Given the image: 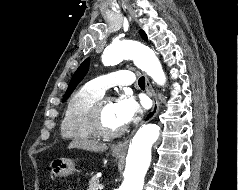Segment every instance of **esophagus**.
Masks as SVG:
<instances>
[{"label":"esophagus","instance_id":"34e87169","mask_svg":"<svg viewBox=\"0 0 238 190\" xmlns=\"http://www.w3.org/2000/svg\"><path fill=\"white\" fill-rule=\"evenodd\" d=\"M145 84H146L147 94L152 98L153 106H152V109L145 116L142 123H147V122L151 121L154 117H156L159 112V108H160V102L157 97V94L155 93V91L146 75H145ZM131 137H132V134L128 135L121 142H118L117 144H115L113 146V149L118 152H123L126 149V146L128 145Z\"/></svg>","mask_w":238,"mask_h":190}]
</instances>
